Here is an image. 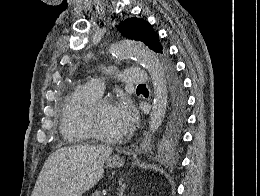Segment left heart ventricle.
<instances>
[{
  "instance_id": "b2bd125f",
  "label": "left heart ventricle",
  "mask_w": 260,
  "mask_h": 196,
  "mask_svg": "<svg viewBox=\"0 0 260 196\" xmlns=\"http://www.w3.org/2000/svg\"><path fill=\"white\" fill-rule=\"evenodd\" d=\"M95 123L97 128L102 132L115 135L123 131L115 112V104L101 108L96 113Z\"/></svg>"
}]
</instances>
